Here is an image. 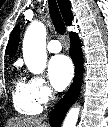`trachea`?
Masks as SVG:
<instances>
[{"instance_id":"3493384b","label":"trachea","mask_w":108,"mask_h":127,"mask_svg":"<svg viewBox=\"0 0 108 127\" xmlns=\"http://www.w3.org/2000/svg\"><path fill=\"white\" fill-rule=\"evenodd\" d=\"M49 4V12H50V16L53 22V25L55 27V30L63 35L66 32V27L64 24V21L60 15L57 3L55 0H49L48 1Z\"/></svg>"}]
</instances>
